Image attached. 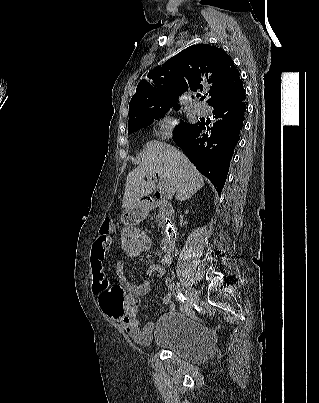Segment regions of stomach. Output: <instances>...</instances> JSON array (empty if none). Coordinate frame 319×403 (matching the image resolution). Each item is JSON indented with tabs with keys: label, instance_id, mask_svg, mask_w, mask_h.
<instances>
[{
	"label": "stomach",
	"instance_id": "stomach-1",
	"mask_svg": "<svg viewBox=\"0 0 319 403\" xmlns=\"http://www.w3.org/2000/svg\"><path fill=\"white\" fill-rule=\"evenodd\" d=\"M121 224L125 226H133V224H141V215H139L138 207L133 205L120 213Z\"/></svg>",
	"mask_w": 319,
	"mask_h": 403
}]
</instances>
